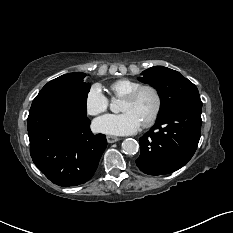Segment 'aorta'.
<instances>
[{
  "mask_svg": "<svg viewBox=\"0 0 233 233\" xmlns=\"http://www.w3.org/2000/svg\"><path fill=\"white\" fill-rule=\"evenodd\" d=\"M110 109L112 112L117 113L119 111L118 101L112 100L110 104ZM122 150L128 155H134L139 150V144L135 139L128 138L122 142Z\"/></svg>",
  "mask_w": 233,
  "mask_h": 233,
  "instance_id": "aorta-1",
  "label": "aorta"
}]
</instances>
